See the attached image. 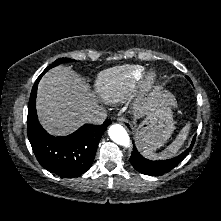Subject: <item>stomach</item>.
Listing matches in <instances>:
<instances>
[{
    "mask_svg": "<svg viewBox=\"0 0 221 221\" xmlns=\"http://www.w3.org/2000/svg\"><path fill=\"white\" fill-rule=\"evenodd\" d=\"M175 103L169 92H157L146 112L145 119L136 130V143L140 149L156 150L164 145L175 129L172 107Z\"/></svg>",
    "mask_w": 221,
    "mask_h": 221,
    "instance_id": "1",
    "label": "stomach"
}]
</instances>
